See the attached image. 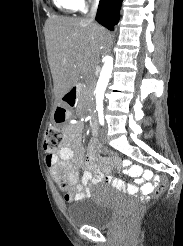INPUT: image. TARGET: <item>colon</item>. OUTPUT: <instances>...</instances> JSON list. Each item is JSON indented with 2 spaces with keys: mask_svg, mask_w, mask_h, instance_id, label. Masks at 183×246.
<instances>
[{
  "mask_svg": "<svg viewBox=\"0 0 183 246\" xmlns=\"http://www.w3.org/2000/svg\"><path fill=\"white\" fill-rule=\"evenodd\" d=\"M66 110L62 107H58L55 112V120L56 122H64L66 120ZM64 140V134L63 132L56 126H50L46 130V135H45V149L49 153H54L56 152L61 144L63 143ZM103 154H109L110 157H115L116 153L115 152H110L109 149H103L102 150ZM137 167V166H134ZM167 183V178L162 177L161 182H157V187L154 191V196L158 197L162 194V192L165 190ZM70 181L66 179H61L59 181V187L65 192V197L67 200H70ZM139 211H136L126 217V222L127 223H132L135 218L137 217Z\"/></svg>",
  "mask_w": 183,
  "mask_h": 246,
  "instance_id": "5ec220e1",
  "label": "colon"
}]
</instances>
